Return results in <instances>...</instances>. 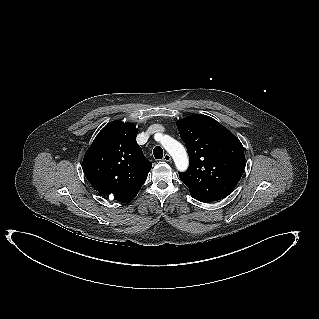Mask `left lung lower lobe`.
<instances>
[{"mask_svg": "<svg viewBox=\"0 0 319 319\" xmlns=\"http://www.w3.org/2000/svg\"><path fill=\"white\" fill-rule=\"evenodd\" d=\"M192 197L200 202H210V200H207L205 198H202L200 196L192 195Z\"/></svg>", "mask_w": 319, "mask_h": 319, "instance_id": "0a47b994", "label": "left lung lower lobe"}]
</instances>
